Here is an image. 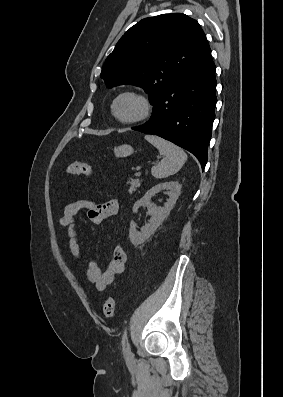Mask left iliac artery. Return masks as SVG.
I'll use <instances>...</instances> for the list:
<instances>
[{"label":"left iliac artery","instance_id":"1","mask_svg":"<svg viewBox=\"0 0 283 397\" xmlns=\"http://www.w3.org/2000/svg\"><path fill=\"white\" fill-rule=\"evenodd\" d=\"M122 348H123V354L125 357L128 358L130 354V346H129V340H128V331L125 330L123 337H122Z\"/></svg>","mask_w":283,"mask_h":397}]
</instances>
